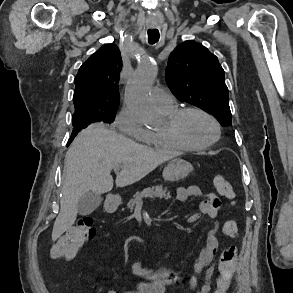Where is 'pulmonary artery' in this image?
I'll return each instance as SVG.
<instances>
[{
  "mask_svg": "<svg viewBox=\"0 0 293 293\" xmlns=\"http://www.w3.org/2000/svg\"><path fill=\"white\" fill-rule=\"evenodd\" d=\"M151 98L159 109H168L175 105L174 96L167 90L160 87L153 88Z\"/></svg>",
  "mask_w": 293,
  "mask_h": 293,
  "instance_id": "obj_1",
  "label": "pulmonary artery"
}]
</instances>
